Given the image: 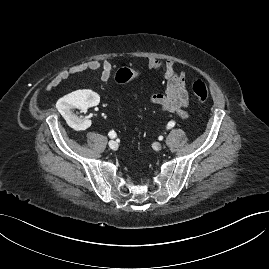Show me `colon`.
<instances>
[{
    "instance_id": "obj_1",
    "label": "colon",
    "mask_w": 269,
    "mask_h": 269,
    "mask_svg": "<svg viewBox=\"0 0 269 269\" xmlns=\"http://www.w3.org/2000/svg\"><path fill=\"white\" fill-rule=\"evenodd\" d=\"M134 76L135 74L131 70L122 68L117 71V73L115 74L114 80L116 84L123 85L129 82ZM192 91H193L194 99L197 102L203 103L207 100L208 90H207L206 85L203 82L201 81L194 82V84L192 85Z\"/></svg>"
}]
</instances>
